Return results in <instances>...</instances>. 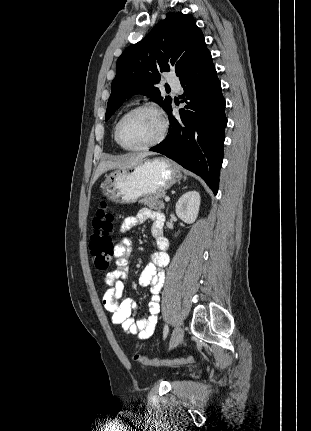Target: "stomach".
I'll use <instances>...</instances> for the list:
<instances>
[{
	"instance_id": "obj_1",
	"label": "stomach",
	"mask_w": 311,
	"mask_h": 431,
	"mask_svg": "<svg viewBox=\"0 0 311 431\" xmlns=\"http://www.w3.org/2000/svg\"><path fill=\"white\" fill-rule=\"evenodd\" d=\"M182 180L180 168L167 158L145 160L135 168L114 170L102 182L101 194L114 204H135L144 196H154Z\"/></svg>"
}]
</instances>
